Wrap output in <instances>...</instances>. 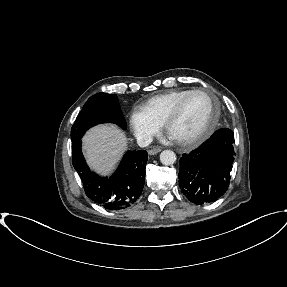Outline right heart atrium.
Here are the masks:
<instances>
[{
	"label": "right heart atrium",
	"instance_id": "d8ad5b80",
	"mask_svg": "<svg viewBox=\"0 0 287 287\" xmlns=\"http://www.w3.org/2000/svg\"><path fill=\"white\" fill-rule=\"evenodd\" d=\"M129 123L134 135L141 142H149L160 130V125L150 120L139 109L130 113Z\"/></svg>",
	"mask_w": 287,
	"mask_h": 287
}]
</instances>
